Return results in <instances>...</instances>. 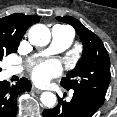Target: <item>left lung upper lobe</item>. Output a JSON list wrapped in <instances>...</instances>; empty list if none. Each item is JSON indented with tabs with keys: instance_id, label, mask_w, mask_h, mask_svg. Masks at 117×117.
<instances>
[{
	"instance_id": "obj_1",
	"label": "left lung upper lobe",
	"mask_w": 117,
	"mask_h": 117,
	"mask_svg": "<svg viewBox=\"0 0 117 117\" xmlns=\"http://www.w3.org/2000/svg\"><path fill=\"white\" fill-rule=\"evenodd\" d=\"M56 19L72 25L83 44L82 60L61 80V86L85 94L102 106L111 80L110 59L103 42L76 18Z\"/></svg>"
}]
</instances>
